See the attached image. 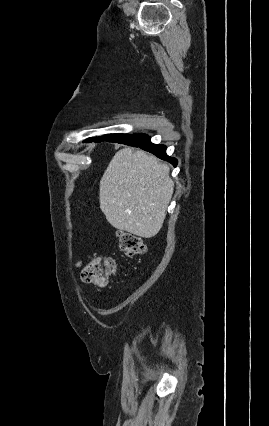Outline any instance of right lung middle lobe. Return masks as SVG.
I'll return each mask as SVG.
<instances>
[{
  "label": "right lung middle lobe",
  "instance_id": "1",
  "mask_svg": "<svg viewBox=\"0 0 269 426\" xmlns=\"http://www.w3.org/2000/svg\"><path fill=\"white\" fill-rule=\"evenodd\" d=\"M130 136L129 134H107L103 135L101 137L96 138H90L88 139V142H101V141H112V140H123Z\"/></svg>",
  "mask_w": 269,
  "mask_h": 426
}]
</instances>
